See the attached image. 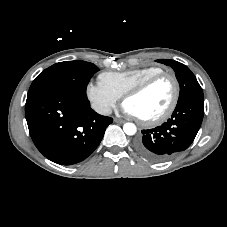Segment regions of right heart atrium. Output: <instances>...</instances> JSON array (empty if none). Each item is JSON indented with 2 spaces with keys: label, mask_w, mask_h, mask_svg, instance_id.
<instances>
[{
  "label": "right heart atrium",
  "mask_w": 227,
  "mask_h": 227,
  "mask_svg": "<svg viewBox=\"0 0 227 227\" xmlns=\"http://www.w3.org/2000/svg\"><path fill=\"white\" fill-rule=\"evenodd\" d=\"M86 95L95 111L108 115L116 107L119 97L99 82H90L86 86Z\"/></svg>",
  "instance_id": "right-heart-atrium-1"
}]
</instances>
